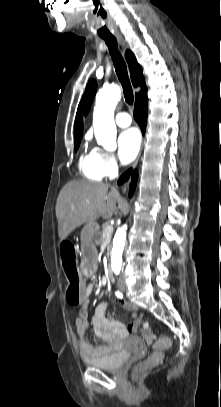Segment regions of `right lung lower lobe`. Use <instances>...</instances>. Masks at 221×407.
Here are the masks:
<instances>
[{
    "label": "right lung lower lobe",
    "mask_w": 221,
    "mask_h": 407,
    "mask_svg": "<svg viewBox=\"0 0 221 407\" xmlns=\"http://www.w3.org/2000/svg\"><path fill=\"white\" fill-rule=\"evenodd\" d=\"M147 104H148V98L146 97L143 100L137 102L135 104V108H134V118L137 121V123L139 124L143 134L146 130V125H147ZM131 173H132V168L129 169L128 171H126L120 177L118 183L122 184L123 182L127 181L128 178L130 177ZM133 178H134V182L131 185L130 196L133 194V192L135 190V186H136V180H137L136 170L133 171Z\"/></svg>",
    "instance_id": "98d812e1"
}]
</instances>
